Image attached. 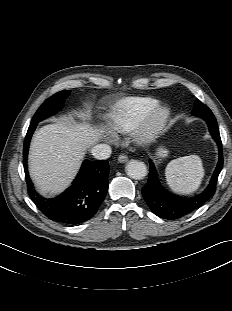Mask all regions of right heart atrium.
<instances>
[{"label": "right heart atrium", "mask_w": 232, "mask_h": 311, "mask_svg": "<svg viewBox=\"0 0 232 311\" xmlns=\"http://www.w3.org/2000/svg\"><path fill=\"white\" fill-rule=\"evenodd\" d=\"M99 133L106 140H111L112 139V135L107 130H105V128L102 127V126L99 127Z\"/></svg>", "instance_id": "d8ad5b80"}]
</instances>
